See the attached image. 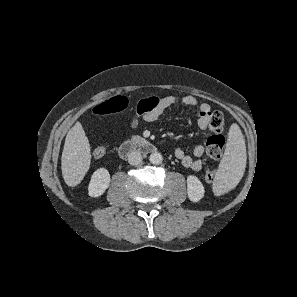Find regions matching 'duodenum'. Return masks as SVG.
Segmentation results:
<instances>
[{
    "label": "duodenum",
    "mask_w": 297,
    "mask_h": 297,
    "mask_svg": "<svg viewBox=\"0 0 297 297\" xmlns=\"http://www.w3.org/2000/svg\"><path fill=\"white\" fill-rule=\"evenodd\" d=\"M154 151V145L144 138H137L123 142L119 147L121 158L128 159L134 153H150Z\"/></svg>",
    "instance_id": "410a0bca"
}]
</instances>
